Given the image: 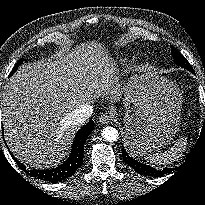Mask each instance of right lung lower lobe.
Returning a JSON list of instances; mask_svg holds the SVG:
<instances>
[{"label":"right lung lower lobe","mask_w":205,"mask_h":205,"mask_svg":"<svg viewBox=\"0 0 205 205\" xmlns=\"http://www.w3.org/2000/svg\"><path fill=\"white\" fill-rule=\"evenodd\" d=\"M94 129L93 121H90L86 125H84L76 134L72 149L69 157L59 166L46 169V170H32L30 171L31 176H35L38 179H43L49 182L57 183L65 180L82 165L83 163V150H84V143L86 142L87 137ZM17 161V160H16ZM19 163V162H18ZM22 169L26 167L21 165Z\"/></svg>","instance_id":"1"}]
</instances>
